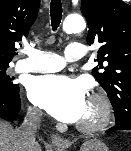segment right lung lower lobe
Wrapping results in <instances>:
<instances>
[{
	"label": "right lung lower lobe",
	"instance_id": "98d812e1",
	"mask_svg": "<svg viewBox=\"0 0 131 151\" xmlns=\"http://www.w3.org/2000/svg\"><path fill=\"white\" fill-rule=\"evenodd\" d=\"M20 110L19 86L13 91H0V118L12 117Z\"/></svg>",
	"mask_w": 131,
	"mask_h": 151
}]
</instances>
